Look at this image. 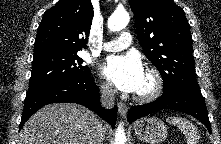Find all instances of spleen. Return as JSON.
<instances>
[{
    "label": "spleen",
    "mask_w": 221,
    "mask_h": 144,
    "mask_svg": "<svg viewBox=\"0 0 221 144\" xmlns=\"http://www.w3.org/2000/svg\"><path fill=\"white\" fill-rule=\"evenodd\" d=\"M167 121L177 126L183 132L187 144H197L199 142L200 134L198 129L187 119L182 117H170Z\"/></svg>",
    "instance_id": "spleen-1"
}]
</instances>
